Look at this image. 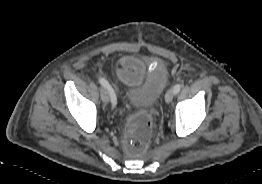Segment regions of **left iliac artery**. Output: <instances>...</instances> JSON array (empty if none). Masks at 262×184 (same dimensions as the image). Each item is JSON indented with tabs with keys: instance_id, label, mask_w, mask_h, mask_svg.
Segmentation results:
<instances>
[{
	"instance_id": "44dca946",
	"label": "left iliac artery",
	"mask_w": 262,
	"mask_h": 184,
	"mask_svg": "<svg viewBox=\"0 0 262 184\" xmlns=\"http://www.w3.org/2000/svg\"><path fill=\"white\" fill-rule=\"evenodd\" d=\"M180 89H181V84H176V85L174 86V88H173L174 93H175V94L179 93Z\"/></svg>"
}]
</instances>
